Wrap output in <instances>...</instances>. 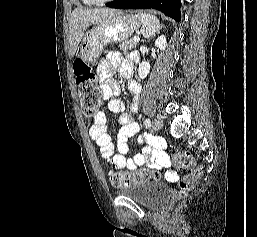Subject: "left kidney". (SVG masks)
<instances>
[{
    "label": "left kidney",
    "instance_id": "1",
    "mask_svg": "<svg viewBox=\"0 0 257 237\" xmlns=\"http://www.w3.org/2000/svg\"><path fill=\"white\" fill-rule=\"evenodd\" d=\"M166 45H167V42H166V37L164 35H161L155 41V46L158 47L160 50H165ZM150 69H151V66L148 62H145V61L141 62L138 68L139 77L141 79L146 78V76L150 72Z\"/></svg>",
    "mask_w": 257,
    "mask_h": 237
}]
</instances>
